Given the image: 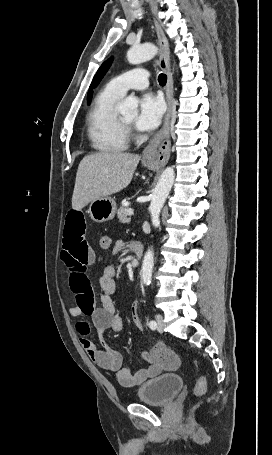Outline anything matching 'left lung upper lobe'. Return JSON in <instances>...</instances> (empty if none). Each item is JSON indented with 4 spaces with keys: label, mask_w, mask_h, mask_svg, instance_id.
<instances>
[{
    "label": "left lung upper lobe",
    "mask_w": 272,
    "mask_h": 455,
    "mask_svg": "<svg viewBox=\"0 0 272 455\" xmlns=\"http://www.w3.org/2000/svg\"><path fill=\"white\" fill-rule=\"evenodd\" d=\"M113 58H109L108 60H106L102 65L101 67L98 69L96 75L94 76L93 78V81L90 85V90L88 91V96H87V101H88V104L90 103L91 99H92V88H95L99 82L101 81V79L103 78V76L106 74L108 68L110 67L111 65V62H112Z\"/></svg>",
    "instance_id": "left-lung-upper-lobe-1"
}]
</instances>
